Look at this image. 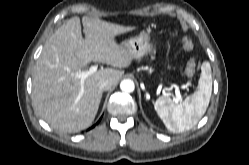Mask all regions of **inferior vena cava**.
<instances>
[{
	"mask_svg": "<svg viewBox=\"0 0 249 165\" xmlns=\"http://www.w3.org/2000/svg\"><path fill=\"white\" fill-rule=\"evenodd\" d=\"M101 90H109L112 87V83L109 80H103L99 83Z\"/></svg>",
	"mask_w": 249,
	"mask_h": 165,
	"instance_id": "602c4592",
	"label": "inferior vena cava"
}]
</instances>
